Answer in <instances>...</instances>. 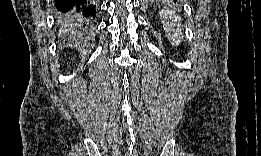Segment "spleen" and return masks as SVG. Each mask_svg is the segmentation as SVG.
I'll return each mask as SVG.
<instances>
[{
    "label": "spleen",
    "instance_id": "spleen-1",
    "mask_svg": "<svg viewBox=\"0 0 261 156\" xmlns=\"http://www.w3.org/2000/svg\"><path fill=\"white\" fill-rule=\"evenodd\" d=\"M160 19L166 32L167 39L172 45L177 46L183 40L182 24L175 11L163 8L160 12Z\"/></svg>",
    "mask_w": 261,
    "mask_h": 156
}]
</instances>
